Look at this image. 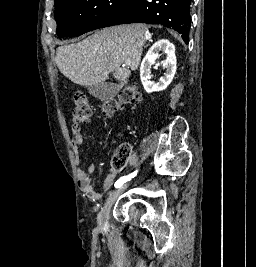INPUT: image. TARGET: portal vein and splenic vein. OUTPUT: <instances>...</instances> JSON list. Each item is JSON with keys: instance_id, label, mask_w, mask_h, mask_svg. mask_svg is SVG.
<instances>
[{"instance_id": "18ae733b", "label": "portal vein and splenic vein", "mask_w": 256, "mask_h": 267, "mask_svg": "<svg viewBox=\"0 0 256 267\" xmlns=\"http://www.w3.org/2000/svg\"><path fill=\"white\" fill-rule=\"evenodd\" d=\"M123 66H126V64H123ZM127 66H130V64H127Z\"/></svg>"}]
</instances>
